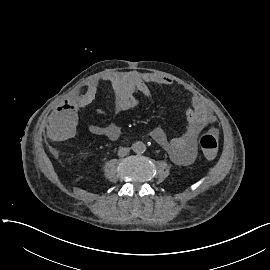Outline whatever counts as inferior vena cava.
Masks as SVG:
<instances>
[{
	"mask_svg": "<svg viewBox=\"0 0 270 270\" xmlns=\"http://www.w3.org/2000/svg\"><path fill=\"white\" fill-rule=\"evenodd\" d=\"M130 151V148L127 147H120L118 150V156L119 157H124L126 156Z\"/></svg>",
	"mask_w": 270,
	"mask_h": 270,
	"instance_id": "inferior-vena-cava-1",
	"label": "inferior vena cava"
}]
</instances>
